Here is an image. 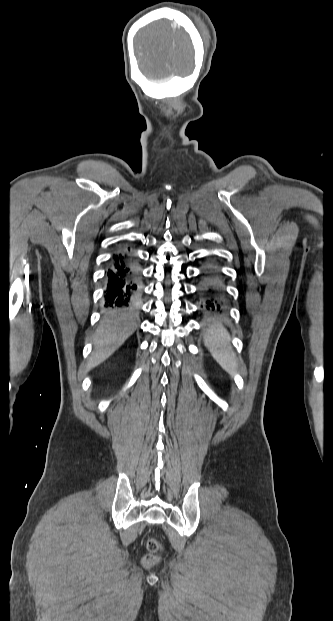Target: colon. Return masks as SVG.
Segmentation results:
<instances>
[{
  "label": "colon",
  "mask_w": 333,
  "mask_h": 621,
  "mask_svg": "<svg viewBox=\"0 0 333 621\" xmlns=\"http://www.w3.org/2000/svg\"><path fill=\"white\" fill-rule=\"evenodd\" d=\"M161 545L156 539H149L147 542V549L149 554L146 555L143 559V563L145 566H150L158 562L159 558L157 556V552L160 550Z\"/></svg>",
  "instance_id": "5ec220e1"
}]
</instances>
